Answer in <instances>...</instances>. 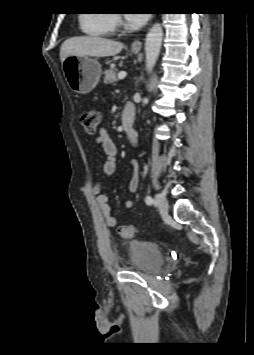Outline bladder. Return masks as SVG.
Here are the masks:
<instances>
[{"instance_id":"31cf9c89","label":"bladder","mask_w":254,"mask_h":355,"mask_svg":"<svg viewBox=\"0 0 254 355\" xmlns=\"http://www.w3.org/2000/svg\"><path fill=\"white\" fill-rule=\"evenodd\" d=\"M128 257L129 270L148 275L156 274L164 263V257L160 247L150 241H130Z\"/></svg>"}]
</instances>
